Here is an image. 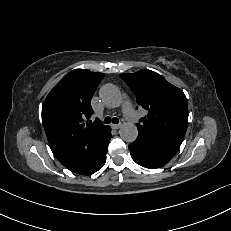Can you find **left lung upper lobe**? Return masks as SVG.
Listing matches in <instances>:
<instances>
[{
  "label": "left lung upper lobe",
  "mask_w": 231,
  "mask_h": 231,
  "mask_svg": "<svg viewBox=\"0 0 231 231\" xmlns=\"http://www.w3.org/2000/svg\"><path fill=\"white\" fill-rule=\"evenodd\" d=\"M120 77L134 92L138 105L148 111L137 123L138 133L180 146L188 126V106L183 91L147 69Z\"/></svg>",
  "instance_id": "1"
}]
</instances>
